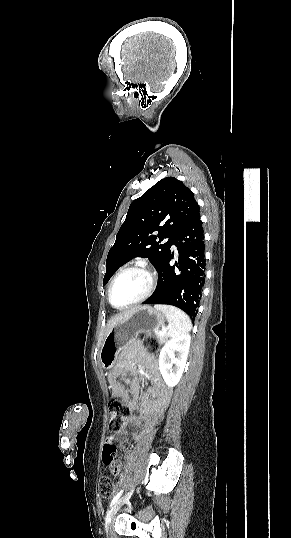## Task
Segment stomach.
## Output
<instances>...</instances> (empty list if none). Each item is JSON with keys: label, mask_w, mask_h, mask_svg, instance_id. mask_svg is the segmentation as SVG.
Here are the masks:
<instances>
[{"label": "stomach", "mask_w": 291, "mask_h": 538, "mask_svg": "<svg viewBox=\"0 0 291 538\" xmlns=\"http://www.w3.org/2000/svg\"><path fill=\"white\" fill-rule=\"evenodd\" d=\"M165 314L150 306L139 307L117 324L105 337L100 362L106 371L110 363H118L120 350L132 344L139 333H150L164 327ZM136 350V347H133Z\"/></svg>", "instance_id": "0dacf381"}]
</instances>
